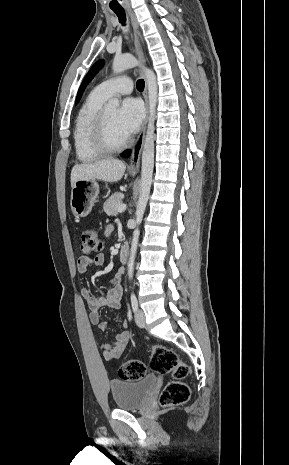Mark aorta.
I'll return each mask as SVG.
<instances>
[{
  "mask_svg": "<svg viewBox=\"0 0 289 465\" xmlns=\"http://www.w3.org/2000/svg\"><path fill=\"white\" fill-rule=\"evenodd\" d=\"M139 65V61L134 56L121 55L116 56L114 58L112 68L114 73H120L126 69L134 68ZM142 69L148 89L149 118L142 153L140 196L138 199L135 213L137 228L133 232L130 257L128 261V276L130 280L133 278L134 261L138 246V239L140 235L138 225H140V223L142 222L146 205L149 199L150 188L152 183V174L154 167V131L156 119V105L158 97V87L155 73L152 70L144 67ZM108 107L118 108L119 100L117 98L110 99L108 102Z\"/></svg>",
  "mask_w": 289,
  "mask_h": 465,
  "instance_id": "aorta-1",
  "label": "aorta"
}]
</instances>
